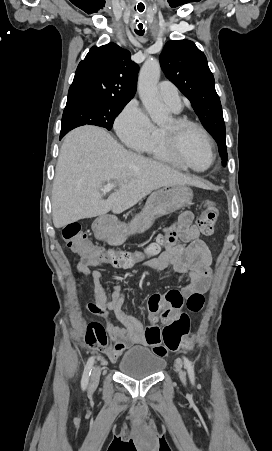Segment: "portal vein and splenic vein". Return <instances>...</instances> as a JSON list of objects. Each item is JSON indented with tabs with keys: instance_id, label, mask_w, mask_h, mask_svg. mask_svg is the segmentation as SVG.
Masks as SVG:
<instances>
[{
	"instance_id": "1",
	"label": "portal vein and splenic vein",
	"mask_w": 272,
	"mask_h": 451,
	"mask_svg": "<svg viewBox=\"0 0 272 451\" xmlns=\"http://www.w3.org/2000/svg\"><path fill=\"white\" fill-rule=\"evenodd\" d=\"M115 184H107V186H103V188H100L101 192L103 194H106V192H111L112 188H114Z\"/></svg>"
}]
</instances>
